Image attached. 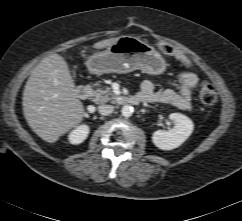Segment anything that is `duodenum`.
Instances as JSON below:
<instances>
[{
  "instance_id": "1",
  "label": "duodenum",
  "mask_w": 242,
  "mask_h": 221,
  "mask_svg": "<svg viewBox=\"0 0 242 221\" xmlns=\"http://www.w3.org/2000/svg\"><path fill=\"white\" fill-rule=\"evenodd\" d=\"M90 95H91V91L86 86H79L76 89V96L80 100H87L90 97ZM142 101L143 99L141 96H135V95L123 96L119 99V104L131 106V105H137Z\"/></svg>"
}]
</instances>
